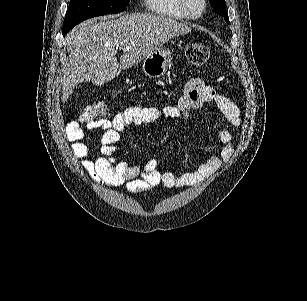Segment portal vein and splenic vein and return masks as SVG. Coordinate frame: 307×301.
I'll use <instances>...</instances> for the list:
<instances>
[{
  "label": "portal vein and splenic vein",
  "instance_id": "18ae733b",
  "mask_svg": "<svg viewBox=\"0 0 307 301\" xmlns=\"http://www.w3.org/2000/svg\"><path fill=\"white\" fill-rule=\"evenodd\" d=\"M130 46H123L122 50H129Z\"/></svg>",
  "mask_w": 307,
  "mask_h": 301
}]
</instances>
